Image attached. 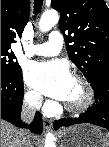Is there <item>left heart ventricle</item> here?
<instances>
[{"instance_id":"obj_1","label":"left heart ventricle","mask_w":109,"mask_h":147,"mask_svg":"<svg viewBox=\"0 0 109 147\" xmlns=\"http://www.w3.org/2000/svg\"><path fill=\"white\" fill-rule=\"evenodd\" d=\"M85 98L86 90L84 86L80 81L72 78L64 101L71 106H77L84 102Z\"/></svg>"}]
</instances>
